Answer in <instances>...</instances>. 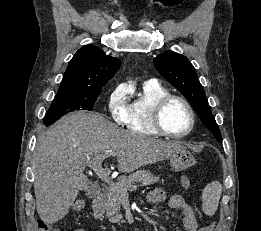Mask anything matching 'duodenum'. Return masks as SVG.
<instances>
[{
    "mask_svg": "<svg viewBox=\"0 0 261 231\" xmlns=\"http://www.w3.org/2000/svg\"><path fill=\"white\" fill-rule=\"evenodd\" d=\"M93 210L97 216L103 213V194H98L93 201Z\"/></svg>",
    "mask_w": 261,
    "mask_h": 231,
    "instance_id": "1",
    "label": "duodenum"
}]
</instances>
